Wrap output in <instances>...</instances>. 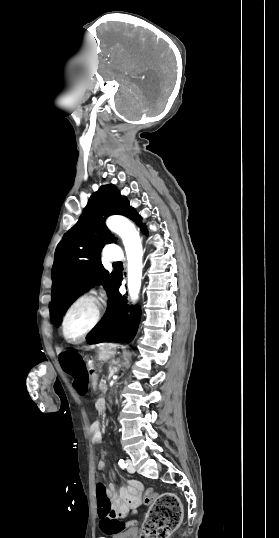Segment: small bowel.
Returning a JSON list of instances; mask_svg holds the SVG:
<instances>
[{
  "label": "small bowel",
  "mask_w": 279,
  "mask_h": 538,
  "mask_svg": "<svg viewBox=\"0 0 279 538\" xmlns=\"http://www.w3.org/2000/svg\"><path fill=\"white\" fill-rule=\"evenodd\" d=\"M73 387L79 395H85L91 389V383L86 374H77L73 379ZM92 440L95 443L101 441L102 435L100 423L94 422L91 426ZM106 462L98 463L99 469H104ZM143 485L137 480H130L126 485H121L118 490L114 484L108 487L111 498L113 514L109 517H101L100 526L104 533L111 534L121 530L135 527L136 521H122L130 512H134L142 504Z\"/></svg>",
  "instance_id": "small-bowel-1"
}]
</instances>
